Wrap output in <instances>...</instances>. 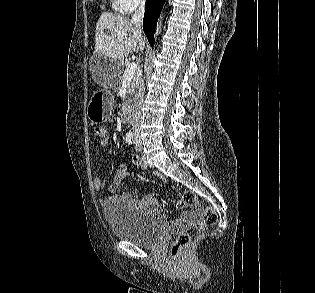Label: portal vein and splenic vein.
I'll list each match as a JSON object with an SVG mask.
<instances>
[{"instance_id":"18ae733b","label":"portal vein and splenic vein","mask_w":315,"mask_h":293,"mask_svg":"<svg viewBox=\"0 0 315 293\" xmlns=\"http://www.w3.org/2000/svg\"><path fill=\"white\" fill-rule=\"evenodd\" d=\"M137 65L136 63H130L127 65L125 71H124V78L130 79L133 77V75L136 73Z\"/></svg>"}]
</instances>
